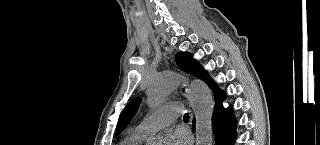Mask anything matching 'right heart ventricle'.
<instances>
[{"mask_svg": "<svg viewBox=\"0 0 320 145\" xmlns=\"http://www.w3.org/2000/svg\"><path fill=\"white\" fill-rule=\"evenodd\" d=\"M148 136H145L136 130L131 131L128 135L123 139L121 145H142Z\"/></svg>", "mask_w": 320, "mask_h": 145, "instance_id": "e07e8e85", "label": "right heart ventricle"}]
</instances>
